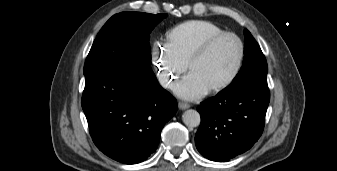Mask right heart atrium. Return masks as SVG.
<instances>
[{"instance_id":"1","label":"right heart atrium","mask_w":337,"mask_h":171,"mask_svg":"<svg viewBox=\"0 0 337 171\" xmlns=\"http://www.w3.org/2000/svg\"><path fill=\"white\" fill-rule=\"evenodd\" d=\"M151 58L157 77L165 87H172L186 70V64L166 44H155L151 50Z\"/></svg>"}]
</instances>
